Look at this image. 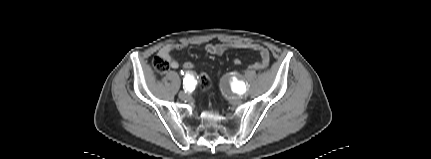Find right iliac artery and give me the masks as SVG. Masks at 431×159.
Segmentation results:
<instances>
[{"label":"right iliac artery","mask_w":431,"mask_h":159,"mask_svg":"<svg viewBox=\"0 0 431 159\" xmlns=\"http://www.w3.org/2000/svg\"><path fill=\"white\" fill-rule=\"evenodd\" d=\"M183 84H184L185 91H192L195 88L194 77L190 74H186L183 80Z\"/></svg>","instance_id":"right-iliac-artery-1"}]
</instances>
